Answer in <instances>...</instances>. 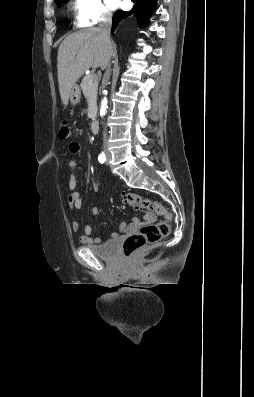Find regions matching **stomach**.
<instances>
[{"label":"stomach","instance_id":"obj_1","mask_svg":"<svg viewBox=\"0 0 254 397\" xmlns=\"http://www.w3.org/2000/svg\"><path fill=\"white\" fill-rule=\"evenodd\" d=\"M69 99H70L72 104L79 103V101L81 99V91H80V88H79V86L77 84H74L71 87L70 93H69Z\"/></svg>","mask_w":254,"mask_h":397}]
</instances>
